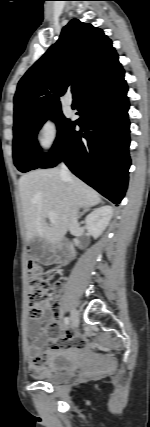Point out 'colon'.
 <instances>
[{"label":"colon","mask_w":150,"mask_h":427,"mask_svg":"<svg viewBox=\"0 0 150 427\" xmlns=\"http://www.w3.org/2000/svg\"><path fill=\"white\" fill-rule=\"evenodd\" d=\"M28 303L30 314L33 319L41 317L42 308L53 291V276L51 273L44 272L39 264L30 262L28 267ZM50 311H51V304Z\"/></svg>","instance_id":"colon-1"}]
</instances>
